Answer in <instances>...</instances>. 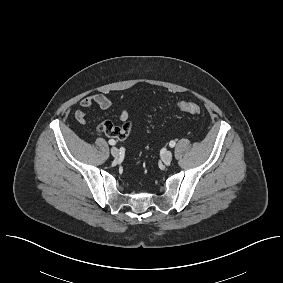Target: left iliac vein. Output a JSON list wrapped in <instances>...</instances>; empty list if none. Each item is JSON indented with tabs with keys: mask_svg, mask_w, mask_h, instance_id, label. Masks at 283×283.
Wrapping results in <instances>:
<instances>
[{
	"mask_svg": "<svg viewBox=\"0 0 283 283\" xmlns=\"http://www.w3.org/2000/svg\"><path fill=\"white\" fill-rule=\"evenodd\" d=\"M173 158V154L171 151H167L164 153L163 157H162V161L166 164L169 165L172 161Z\"/></svg>",
	"mask_w": 283,
	"mask_h": 283,
	"instance_id": "4c4485c4",
	"label": "left iliac vein"
}]
</instances>
